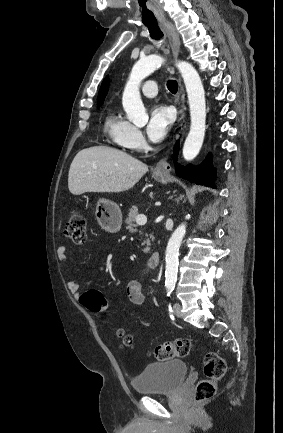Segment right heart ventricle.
Instances as JSON below:
<instances>
[{
  "label": "right heart ventricle",
  "mask_w": 283,
  "mask_h": 433,
  "mask_svg": "<svg viewBox=\"0 0 283 433\" xmlns=\"http://www.w3.org/2000/svg\"><path fill=\"white\" fill-rule=\"evenodd\" d=\"M130 124L118 116L116 112L109 113L104 119V131L114 140L119 141Z\"/></svg>",
  "instance_id": "right-heart-ventricle-1"
}]
</instances>
